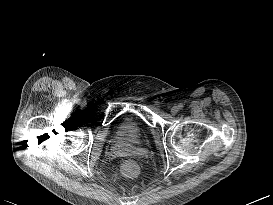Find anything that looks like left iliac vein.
Instances as JSON below:
<instances>
[{
  "instance_id": "4c4485c4",
  "label": "left iliac vein",
  "mask_w": 273,
  "mask_h": 205,
  "mask_svg": "<svg viewBox=\"0 0 273 205\" xmlns=\"http://www.w3.org/2000/svg\"><path fill=\"white\" fill-rule=\"evenodd\" d=\"M178 111H179V108H178L177 106H173V107L171 108V113H172L173 115L177 114Z\"/></svg>"
}]
</instances>
